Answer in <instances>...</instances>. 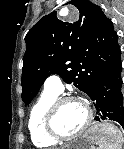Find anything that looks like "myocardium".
Returning <instances> with one entry per match:
<instances>
[{"instance_id":"1","label":"myocardium","mask_w":124,"mask_h":149,"mask_svg":"<svg viewBox=\"0 0 124 149\" xmlns=\"http://www.w3.org/2000/svg\"><path fill=\"white\" fill-rule=\"evenodd\" d=\"M70 101H79L83 103L87 109V118L84 125L78 131L72 134L65 135L60 133L56 129L55 121H56V116L59 111V108L63 104ZM92 121H93V108L87 100L79 97H75V96H62V97H58L48 108L44 119V126H45L46 133L51 138L57 141H69L85 133L91 126Z\"/></svg>"}]
</instances>
